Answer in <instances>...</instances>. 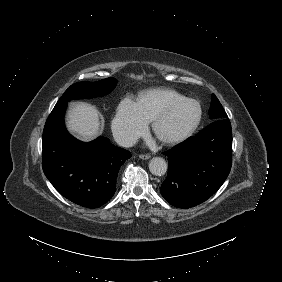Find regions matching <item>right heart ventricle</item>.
Listing matches in <instances>:
<instances>
[{
	"mask_svg": "<svg viewBox=\"0 0 282 282\" xmlns=\"http://www.w3.org/2000/svg\"><path fill=\"white\" fill-rule=\"evenodd\" d=\"M180 98L181 96L174 91L154 89L144 93L139 104L148 120L153 121L168 104Z\"/></svg>",
	"mask_w": 282,
	"mask_h": 282,
	"instance_id": "1",
	"label": "right heart ventricle"
}]
</instances>
